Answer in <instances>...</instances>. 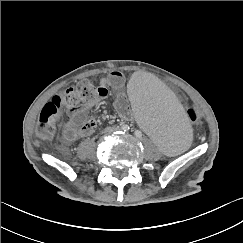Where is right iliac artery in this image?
<instances>
[{
  "mask_svg": "<svg viewBox=\"0 0 243 243\" xmlns=\"http://www.w3.org/2000/svg\"><path fill=\"white\" fill-rule=\"evenodd\" d=\"M122 130L123 131H128L129 130V126L128 125H122Z\"/></svg>",
  "mask_w": 243,
  "mask_h": 243,
  "instance_id": "82829eb1",
  "label": "right iliac artery"
}]
</instances>
